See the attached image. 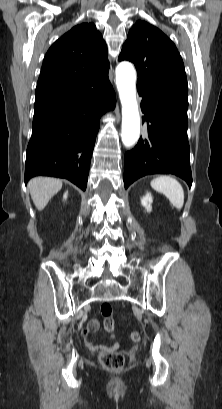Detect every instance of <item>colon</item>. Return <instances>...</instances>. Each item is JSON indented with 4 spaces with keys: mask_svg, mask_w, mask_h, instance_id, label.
<instances>
[{
    "mask_svg": "<svg viewBox=\"0 0 222 409\" xmlns=\"http://www.w3.org/2000/svg\"><path fill=\"white\" fill-rule=\"evenodd\" d=\"M101 315L105 320V328L107 331H112L114 329V321L112 318L113 309L109 303H103L100 308ZM130 339L132 342H139L141 336L138 332H132L130 334ZM101 364L108 370L118 371L124 367L125 357L119 352H103L100 355Z\"/></svg>",
    "mask_w": 222,
    "mask_h": 409,
    "instance_id": "5ec220e1",
    "label": "colon"
}]
</instances>
